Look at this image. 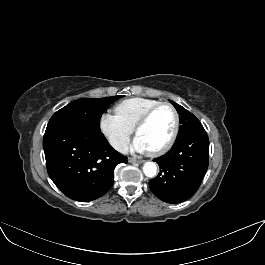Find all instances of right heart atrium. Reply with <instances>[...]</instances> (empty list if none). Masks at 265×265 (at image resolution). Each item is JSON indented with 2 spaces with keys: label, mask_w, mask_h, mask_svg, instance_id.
Instances as JSON below:
<instances>
[{
  "label": "right heart atrium",
  "mask_w": 265,
  "mask_h": 265,
  "mask_svg": "<svg viewBox=\"0 0 265 265\" xmlns=\"http://www.w3.org/2000/svg\"><path fill=\"white\" fill-rule=\"evenodd\" d=\"M100 127L109 143L117 151H123L133 129L126 125L116 114L105 112L100 118Z\"/></svg>",
  "instance_id": "obj_1"
}]
</instances>
